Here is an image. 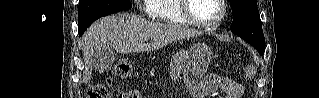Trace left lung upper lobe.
<instances>
[{
  "label": "left lung upper lobe",
  "instance_id": "5c2ea615",
  "mask_svg": "<svg viewBox=\"0 0 319 98\" xmlns=\"http://www.w3.org/2000/svg\"><path fill=\"white\" fill-rule=\"evenodd\" d=\"M233 22L231 31L256 49L265 50V39L256 0H229Z\"/></svg>",
  "mask_w": 319,
  "mask_h": 98
}]
</instances>
